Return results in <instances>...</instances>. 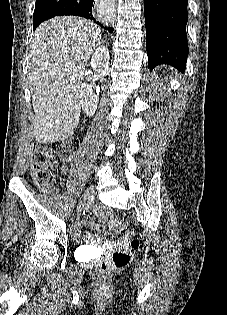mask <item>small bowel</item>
Returning <instances> with one entry per match:
<instances>
[{"instance_id": "1", "label": "small bowel", "mask_w": 227, "mask_h": 315, "mask_svg": "<svg viewBox=\"0 0 227 315\" xmlns=\"http://www.w3.org/2000/svg\"><path fill=\"white\" fill-rule=\"evenodd\" d=\"M62 171H65V169L63 168ZM84 223L92 225V223L89 220H84ZM93 225L99 231H102L104 229V225L101 222L94 223Z\"/></svg>"}]
</instances>
